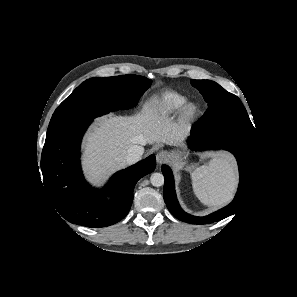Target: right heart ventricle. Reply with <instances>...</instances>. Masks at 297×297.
<instances>
[{"instance_id":"right-heart-ventricle-1","label":"right heart ventricle","mask_w":297,"mask_h":297,"mask_svg":"<svg viewBox=\"0 0 297 297\" xmlns=\"http://www.w3.org/2000/svg\"><path fill=\"white\" fill-rule=\"evenodd\" d=\"M187 97L177 92H165L159 95L153 103V114L157 117H166L178 113L185 104Z\"/></svg>"}]
</instances>
